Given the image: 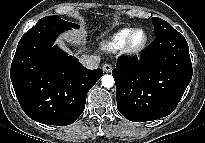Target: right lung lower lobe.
I'll list each match as a JSON object with an SVG mask.
<instances>
[{"label": "right lung lower lobe", "instance_id": "right-lung-lower-lobe-1", "mask_svg": "<svg viewBox=\"0 0 205 143\" xmlns=\"http://www.w3.org/2000/svg\"><path fill=\"white\" fill-rule=\"evenodd\" d=\"M40 19L20 39L10 70L12 85L23 111L42 124L66 126L85 108L88 91L103 75L88 70L75 57L52 46L69 29Z\"/></svg>", "mask_w": 205, "mask_h": 143}]
</instances>
